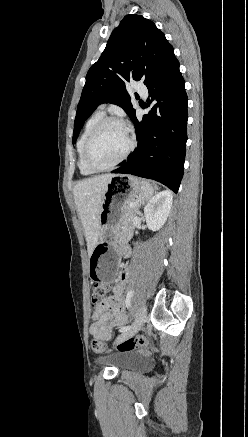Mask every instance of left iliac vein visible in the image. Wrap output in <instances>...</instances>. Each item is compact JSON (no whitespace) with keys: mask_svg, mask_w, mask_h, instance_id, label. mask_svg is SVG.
I'll return each mask as SVG.
<instances>
[{"mask_svg":"<svg viewBox=\"0 0 248 437\" xmlns=\"http://www.w3.org/2000/svg\"><path fill=\"white\" fill-rule=\"evenodd\" d=\"M146 316H147V308H146L145 304H142L137 312V317H136L135 323L132 326V328L130 330L120 334L116 338L115 343H118L124 339H127V338L134 336L140 330L141 326L145 322Z\"/></svg>","mask_w":248,"mask_h":437,"instance_id":"left-iliac-vein-1","label":"left iliac vein"}]
</instances>
